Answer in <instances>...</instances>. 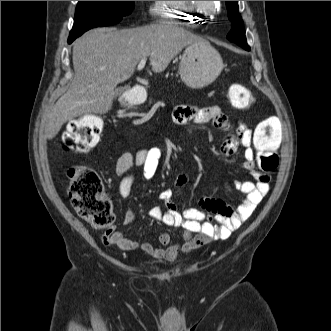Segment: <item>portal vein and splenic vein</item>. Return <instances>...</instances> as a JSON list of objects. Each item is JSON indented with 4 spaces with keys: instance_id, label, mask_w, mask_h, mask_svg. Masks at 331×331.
<instances>
[{
    "instance_id": "1",
    "label": "portal vein and splenic vein",
    "mask_w": 331,
    "mask_h": 331,
    "mask_svg": "<svg viewBox=\"0 0 331 331\" xmlns=\"http://www.w3.org/2000/svg\"><path fill=\"white\" fill-rule=\"evenodd\" d=\"M146 60H147L146 58H143L140 60L138 67H137L138 70H141L142 68H144V66L146 64Z\"/></svg>"
}]
</instances>
